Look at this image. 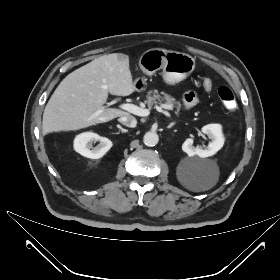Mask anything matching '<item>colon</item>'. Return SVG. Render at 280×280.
I'll use <instances>...</instances> for the list:
<instances>
[{
	"instance_id": "1",
	"label": "colon",
	"mask_w": 280,
	"mask_h": 280,
	"mask_svg": "<svg viewBox=\"0 0 280 280\" xmlns=\"http://www.w3.org/2000/svg\"><path fill=\"white\" fill-rule=\"evenodd\" d=\"M204 86L206 88L211 87V81L206 80L204 82ZM218 95L225 106V108L229 111H234L237 108V101L232 90L226 86H221L218 88Z\"/></svg>"
}]
</instances>
